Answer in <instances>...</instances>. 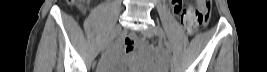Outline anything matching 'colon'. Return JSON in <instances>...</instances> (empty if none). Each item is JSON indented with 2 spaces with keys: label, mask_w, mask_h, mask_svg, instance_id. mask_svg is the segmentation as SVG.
Here are the masks:
<instances>
[{
  "label": "colon",
  "mask_w": 267,
  "mask_h": 72,
  "mask_svg": "<svg viewBox=\"0 0 267 72\" xmlns=\"http://www.w3.org/2000/svg\"><path fill=\"white\" fill-rule=\"evenodd\" d=\"M72 3H77L81 8L86 4V1H70ZM175 5L179 2L175 1ZM175 10H178V6H175ZM189 13L197 18V26L191 27L190 30H196L200 24H206L211 15V0H196L195 7L189 10Z\"/></svg>",
  "instance_id": "colon-1"
}]
</instances>
